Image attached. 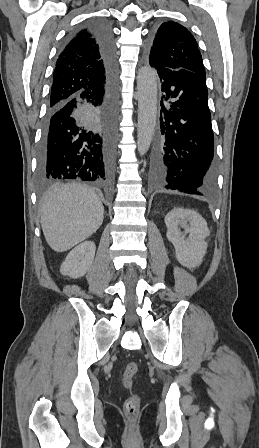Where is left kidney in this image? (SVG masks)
Listing matches in <instances>:
<instances>
[{"label": "left kidney", "instance_id": "5707ae66", "mask_svg": "<svg viewBox=\"0 0 259 448\" xmlns=\"http://www.w3.org/2000/svg\"><path fill=\"white\" fill-rule=\"evenodd\" d=\"M165 224L167 226V238L175 248L176 260L179 264L185 266V268L200 266L207 250L205 238L210 234L204 218L194 210L173 208L165 216ZM180 228H185L184 234ZM186 234H189V238L184 240Z\"/></svg>", "mask_w": 259, "mask_h": 448}]
</instances>
